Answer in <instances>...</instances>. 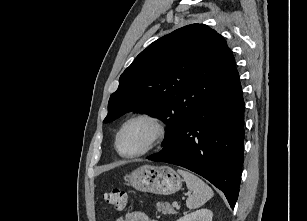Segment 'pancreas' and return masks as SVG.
<instances>
[{
	"mask_svg": "<svg viewBox=\"0 0 307 221\" xmlns=\"http://www.w3.org/2000/svg\"><path fill=\"white\" fill-rule=\"evenodd\" d=\"M157 210L162 214H176L177 212L173 209V207L169 203H157Z\"/></svg>",
	"mask_w": 307,
	"mask_h": 221,
	"instance_id": "cf45deb5",
	"label": "pancreas"
}]
</instances>
